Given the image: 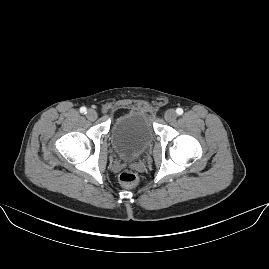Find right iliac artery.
<instances>
[{
    "instance_id": "82829eb1",
    "label": "right iliac artery",
    "mask_w": 269,
    "mask_h": 269,
    "mask_svg": "<svg viewBox=\"0 0 269 269\" xmlns=\"http://www.w3.org/2000/svg\"><path fill=\"white\" fill-rule=\"evenodd\" d=\"M80 112L86 114V108L85 107H81L80 108Z\"/></svg>"
}]
</instances>
